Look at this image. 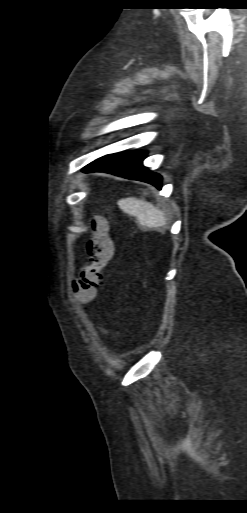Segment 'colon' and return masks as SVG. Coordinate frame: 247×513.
I'll return each instance as SVG.
<instances>
[{
	"mask_svg": "<svg viewBox=\"0 0 247 513\" xmlns=\"http://www.w3.org/2000/svg\"><path fill=\"white\" fill-rule=\"evenodd\" d=\"M92 235L87 241L88 262L72 282V291L82 300L94 297L103 283L102 271L113 256V244L108 234L107 224L93 220L90 224Z\"/></svg>",
	"mask_w": 247,
	"mask_h": 513,
	"instance_id": "5ec220e1",
	"label": "colon"
}]
</instances>
